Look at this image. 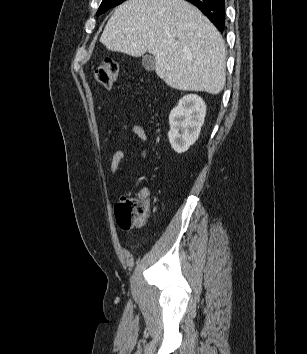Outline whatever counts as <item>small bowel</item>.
<instances>
[{
    "mask_svg": "<svg viewBox=\"0 0 307 354\" xmlns=\"http://www.w3.org/2000/svg\"><path fill=\"white\" fill-rule=\"evenodd\" d=\"M121 129L124 131H131L138 138L139 143L142 145V149L140 153L141 157L143 159H147L148 154H147V148L145 144L148 141V136L144 128L138 124L126 123L121 126ZM125 156H126V151L123 149L117 150L113 154L110 162V171L114 176L118 174L121 161L125 158ZM148 195H149V191L147 189H140L136 194V196L138 197L148 196Z\"/></svg>",
    "mask_w": 307,
    "mask_h": 354,
    "instance_id": "obj_1",
    "label": "small bowel"
}]
</instances>
